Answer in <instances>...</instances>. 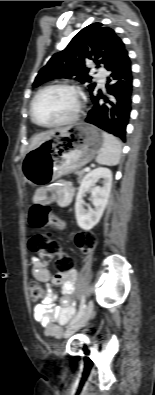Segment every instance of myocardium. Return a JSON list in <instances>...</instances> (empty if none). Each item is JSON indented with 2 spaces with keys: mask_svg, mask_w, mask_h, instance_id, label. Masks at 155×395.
<instances>
[{
  "mask_svg": "<svg viewBox=\"0 0 155 395\" xmlns=\"http://www.w3.org/2000/svg\"><path fill=\"white\" fill-rule=\"evenodd\" d=\"M55 88H61V89H67L70 90L74 93L76 97V107L73 111V113L66 119L55 122V123H50V124H43L37 121L34 115V105L37 100V98L45 91L50 90V89H55ZM83 108V96L81 90L74 84L66 83V82H57V83H52L48 84L42 88H40L35 95L33 96L31 102H30V107H29V113H30V118L32 122L42 128H57V127H63L70 125L74 123L80 116V113Z\"/></svg>",
  "mask_w": 155,
  "mask_h": 395,
  "instance_id": "f54148a6",
  "label": "myocardium"
}]
</instances>
